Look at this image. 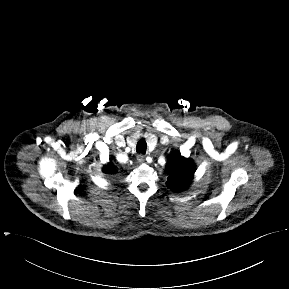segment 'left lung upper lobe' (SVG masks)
Returning <instances> with one entry per match:
<instances>
[{"label":"left lung upper lobe","instance_id":"1","mask_svg":"<svg viewBox=\"0 0 289 289\" xmlns=\"http://www.w3.org/2000/svg\"><path fill=\"white\" fill-rule=\"evenodd\" d=\"M166 171L169 175L167 186L174 191H181L190 185L195 166L191 159H186L180 152H175L167 163Z\"/></svg>","mask_w":289,"mask_h":289}]
</instances>
